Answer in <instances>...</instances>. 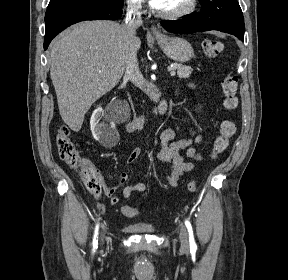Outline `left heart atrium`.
<instances>
[{
    "label": "left heart atrium",
    "mask_w": 288,
    "mask_h": 280,
    "mask_svg": "<svg viewBox=\"0 0 288 280\" xmlns=\"http://www.w3.org/2000/svg\"><path fill=\"white\" fill-rule=\"evenodd\" d=\"M164 3L165 0H150V4L157 9H161Z\"/></svg>",
    "instance_id": "obj_1"
}]
</instances>
